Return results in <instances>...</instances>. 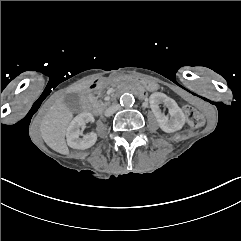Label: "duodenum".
Here are the masks:
<instances>
[{
    "label": "duodenum",
    "instance_id": "410a0bca",
    "mask_svg": "<svg viewBox=\"0 0 241 241\" xmlns=\"http://www.w3.org/2000/svg\"><path fill=\"white\" fill-rule=\"evenodd\" d=\"M103 85L104 82L102 80H95L84 90L82 94V105L85 111H93L94 113H97V109L94 108L92 105L91 97ZM124 93H132L139 96L140 98H143L145 96V91L135 86L120 88L115 92V95L119 96Z\"/></svg>",
    "mask_w": 241,
    "mask_h": 241
}]
</instances>
